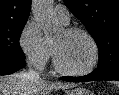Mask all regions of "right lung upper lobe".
Listing matches in <instances>:
<instances>
[{
    "label": "right lung upper lobe",
    "instance_id": "obj_1",
    "mask_svg": "<svg viewBox=\"0 0 119 95\" xmlns=\"http://www.w3.org/2000/svg\"><path fill=\"white\" fill-rule=\"evenodd\" d=\"M31 0H0V26L27 21Z\"/></svg>",
    "mask_w": 119,
    "mask_h": 95
}]
</instances>
